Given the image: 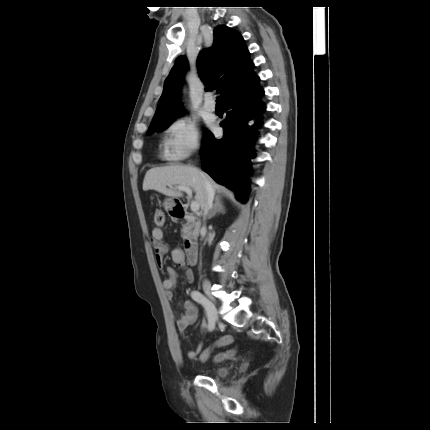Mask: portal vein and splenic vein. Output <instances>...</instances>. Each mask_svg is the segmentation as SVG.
<instances>
[{
  "instance_id": "obj_1",
  "label": "portal vein and splenic vein",
  "mask_w": 430,
  "mask_h": 430,
  "mask_svg": "<svg viewBox=\"0 0 430 430\" xmlns=\"http://www.w3.org/2000/svg\"><path fill=\"white\" fill-rule=\"evenodd\" d=\"M172 188V186H170ZM175 189L180 190V191H184L186 192L189 196H192V190L190 187H185V186H177ZM191 210L193 212H196L199 210V204L197 201H192L191 202Z\"/></svg>"
}]
</instances>
